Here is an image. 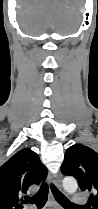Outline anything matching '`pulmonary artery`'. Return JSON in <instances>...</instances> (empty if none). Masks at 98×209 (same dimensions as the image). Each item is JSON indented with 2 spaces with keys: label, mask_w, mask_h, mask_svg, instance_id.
<instances>
[{
  "label": "pulmonary artery",
  "mask_w": 98,
  "mask_h": 209,
  "mask_svg": "<svg viewBox=\"0 0 98 209\" xmlns=\"http://www.w3.org/2000/svg\"><path fill=\"white\" fill-rule=\"evenodd\" d=\"M73 203L78 205H85L87 203V198L84 196H81L79 193L73 194Z\"/></svg>",
  "instance_id": "obj_1"
}]
</instances>
